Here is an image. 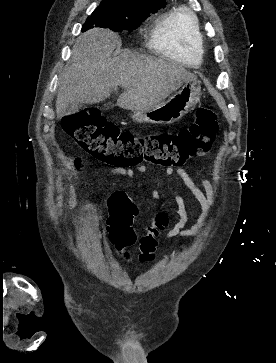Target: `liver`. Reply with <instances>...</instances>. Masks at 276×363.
<instances>
[{
	"instance_id": "1",
	"label": "liver",
	"mask_w": 276,
	"mask_h": 363,
	"mask_svg": "<svg viewBox=\"0 0 276 363\" xmlns=\"http://www.w3.org/2000/svg\"><path fill=\"white\" fill-rule=\"evenodd\" d=\"M119 36L94 28L81 34L59 77L56 115L61 119L69 105L99 103L118 86L125 89L117 105L126 110L149 109L169 97L196 76L183 66L132 51L112 56Z\"/></svg>"
}]
</instances>
